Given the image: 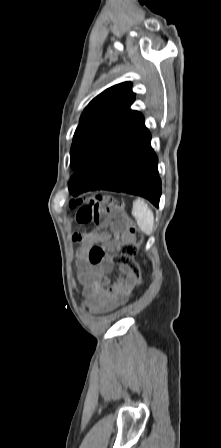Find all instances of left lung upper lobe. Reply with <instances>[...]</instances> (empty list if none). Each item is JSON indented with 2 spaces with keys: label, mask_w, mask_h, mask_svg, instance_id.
I'll use <instances>...</instances> for the list:
<instances>
[{
  "label": "left lung upper lobe",
  "mask_w": 221,
  "mask_h": 448,
  "mask_svg": "<svg viewBox=\"0 0 221 448\" xmlns=\"http://www.w3.org/2000/svg\"><path fill=\"white\" fill-rule=\"evenodd\" d=\"M134 100L131 83L124 82L106 89L88 104L74 134L72 168L93 167L144 126L143 115L130 109Z\"/></svg>",
  "instance_id": "1"
}]
</instances>
